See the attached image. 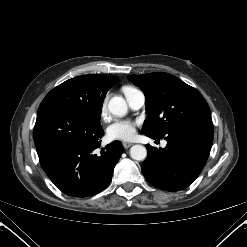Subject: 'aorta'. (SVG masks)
<instances>
[{
  "mask_svg": "<svg viewBox=\"0 0 247 247\" xmlns=\"http://www.w3.org/2000/svg\"><path fill=\"white\" fill-rule=\"evenodd\" d=\"M108 110L115 116L123 117L126 115L128 106L124 98L115 96L108 103ZM132 159L142 161L147 157V150L143 145H134L130 148Z\"/></svg>",
  "mask_w": 247,
  "mask_h": 247,
  "instance_id": "1",
  "label": "aorta"
}]
</instances>
